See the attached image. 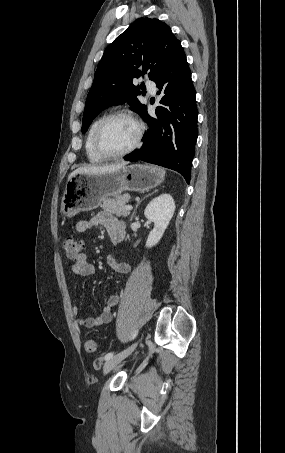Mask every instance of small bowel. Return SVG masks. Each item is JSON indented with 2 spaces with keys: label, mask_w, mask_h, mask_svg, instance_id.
<instances>
[{
  "label": "small bowel",
  "mask_w": 285,
  "mask_h": 453,
  "mask_svg": "<svg viewBox=\"0 0 285 453\" xmlns=\"http://www.w3.org/2000/svg\"><path fill=\"white\" fill-rule=\"evenodd\" d=\"M101 225L105 228L111 242L113 244L120 243L125 237V224L108 212H99L90 219H83L77 222L76 230L80 233H86L92 230L95 226ZM107 264L118 273H128L131 267L126 262H117L113 256L106 258ZM72 274L75 278H86L95 273V267L88 262L87 256L82 253L72 267ZM119 297L111 295L108 297L106 304L100 315L96 317H77L76 324L78 327L92 329L96 326L107 324L112 320V309L118 304ZM74 316H78L79 309L77 306L72 308Z\"/></svg>",
  "instance_id": "small-bowel-1"
}]
</instances>
